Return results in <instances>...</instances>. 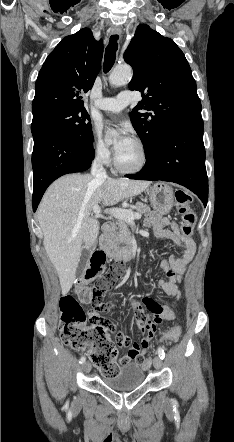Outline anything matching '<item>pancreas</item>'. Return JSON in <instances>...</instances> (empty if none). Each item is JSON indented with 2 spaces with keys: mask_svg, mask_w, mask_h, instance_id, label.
<instances>
[{
  "mask_svg": "<svg viewBox=\"0 0 234 442\" xmlns=\"http://www.w3.org/2000/svg\"><path fill=\"white\" fill-rule=\"evenodd\" d=\"M132 209L136 210L137 213L144 215L149 214L151 211L150 207L142 202H137L132 206ZM123 243H131V233L128 224L124 220H118L117 222L108 224L102 238V247L107 254L114 256V249Z\"/></svg>",
  "mask_w": 234,
  "mask_h": 442,
  "instance_id": "pancreas-1",
  "label": "pancreas"
}]
</instances>
